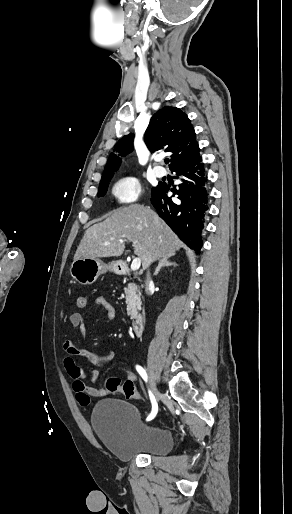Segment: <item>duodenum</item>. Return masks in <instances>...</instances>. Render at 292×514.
<instances>
[{"mask_svg":"<svg viewBox=\"0 0 292 514\" xmlns=\"http://www.w3.org/2000/svg\"><path fill=\"white\" fill-rule=\"evenodd\" d=\"M123 273L126 275L138 276L136 273H133L129 268L124 270ZM131 328L135 334H138L141 331V329L143 328V317L142 316L133 317L131 320Z\"/></svg>","mask_w":292,"mask_h":514,"instance_id":"duodenum-1","label":"duodenum"}]
</instances>
